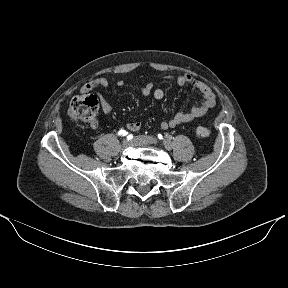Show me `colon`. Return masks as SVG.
Returning a JSON list of instances; mask_svg holds the SVG:
<instances>
[{
  "label": "colon",
  "mask_w": 288,
  "mask_h": 288,
  "mask_svg": "<svg viewBox=\"0 0 288 288\" xmlns=\"http://www.w3.org/2000/svg\"><path fill=\"white\" fill-rule=\"evenodd\" d=\"M97 110V97L90 94H83L72 99L68 108V114L73 120L90 124L96 121ZM210 134L211 130L209 127L198 126L196 128V135L200 138L209 137Z\"/></svg>",
  "instance_id": "5ec220e1"
}]
</instances>
